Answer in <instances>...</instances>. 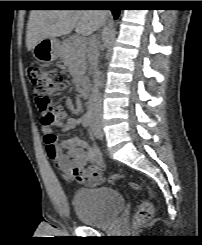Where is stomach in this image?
Here are the masks:
<instances>
[{"instance_id":"0dacf381","label":"stomach","mask_w":202,"mask_h":245,"mask_svg":"<svg viewBox=\"0 0 202 245\" xmlns=\"http://www.w3.org/2000/svg\"><path fill=\"white\" fill-rule=\"evenodd\" d=\"M61 45L56 38H44L32 49V54L36 60L42 63H50L60 55Z\"/></svg>"}]
</instances>
